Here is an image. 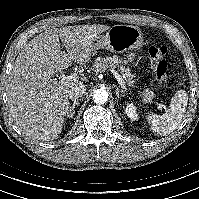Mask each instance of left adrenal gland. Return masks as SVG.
I'll use <instances>...</instances> for the list:
<instances>
[{
	"instance_id": "obj_1",
	"label": "left adrenal gland",
	"mask_w": 199,
	"mask_h": 199,
	"mask_svg": "<svg viewBox=\"0 0 199 199\" xmlns=\"http://www.w3.org/2000/svg\"><path fill=\"white\" fill-rule=\"evenodd\" d=\"M121 92L124 93L123 90L120 91L119 87H117V88H116V97H117V98H120L119 95H120ZM122 96H124V95H122Z\"/></svg>"
}]
</instances>
